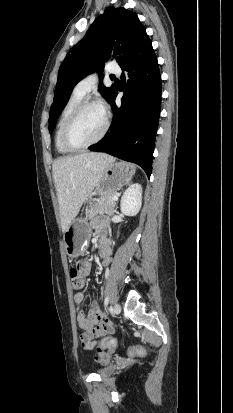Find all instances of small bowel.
Here are the masks:
<instances>
[{
	"label": "small bowel",
	"mask_w": 233,
	"mask_h": 413,
	"mask_svg": "<svg viewBox=\"0 0 233 413\" xmlns=\"http://www.w3.org/2000/svg\"><path fill=\"white\" fill-rule=\"evenodd\" d=\"M93 227L97 229H104L106 227V222L103 220H96L93 222ZM99 252L103 258L104 264H109L111 262L112 250L110 247V241L106 236L101 237ZM75 268L79 269L83 276H87L90 273L91 265L89 262L81 261L75 263ZM73 298L77 306V321L79 327L83 330V333L80 336L83 348L87 350H95L96 359L99 362H108L111 353L115 349L116 342L112 340L108 347L98 350L97 341L95 339L107 333L113 332V322L106 317L97 302H93L91 304L87 314L80 309L79 307L85 299L83 292H76Z\"/></svg>",
	"instance_id": "small-bowel-1"
}]
</instances>
